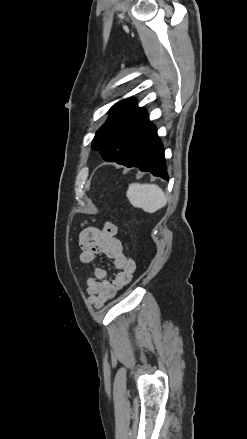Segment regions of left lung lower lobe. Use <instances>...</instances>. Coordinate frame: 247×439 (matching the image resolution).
Segmentation results:
<instances>
[{"label":"left lung lower lobe","mask_w":247,"mask_h":439,"mask_svg":"<svg viewBox=\"0 0 247 439\" xmlns=\"http://www.w3.org/2000/svg\"><path fill=\"white\" fill-rule=\"evenodd\" d=\"M122 165L138 167L168 180L163 145L151 122L139 132Z\"/></svg>","instance_id":"obj_1"}]
</instances>
